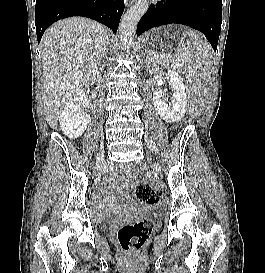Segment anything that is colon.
Listing matches in <instances>:
<instances>
[{"label":"colon","mask_w":265,"mask_h":273,"mask_svg":"<svg viewBox=\"0 0 265 273\" xmlns=\"http://www.w3.org/2000/svg\"><path fill=\"white\" fill-rule=\"evenodd\" d=\"M128 176L136 179L138 174L135 169L128 170ZM134 194L137 200L146 205H156L161 199V193L150 183L136 182ZM152 233V225L149 221H138L123 225L116 233L117 241L125 250L140 249Z\"/></svg>","instance_id":"colon-1"}]
</instances>
